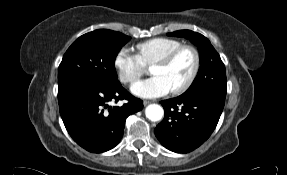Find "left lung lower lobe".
I'll use <instances>...</instances> for the list:
<instances>
[{
	"label": "left lung lower lobe",
	"instance_id": "1",
	"mask_svg": "<svg viewBox=\"0 0 287 175\" xmlns=\"http://www.w3.org/2000/svg\"><path fill=\"white\" fill-rule=\"evenodd\" d=\"M164 119L154 132L160 143L170 151L188 153L203 144L214 131L225 99L211 94H182L161 101Z\"/></svg>",
	"mask_w": 287,
	"mask_h": 175
}]
</instances>
